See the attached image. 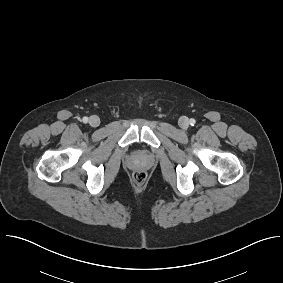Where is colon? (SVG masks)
Returning <instances> with one entry per match:
<instances>
[{
	"label": "colon",
	"mask_w": 283,
	"mask_h": 283,
	"mask_svg": "<svg viewBox=\"0 0 283 283\" xmlns=\"http://www.w3.org/2000/svg\"><path fill=\"white\" fill-rule=\"evenodd\" d=\"M133 179L136 183L141 184L145 181L146 174L142 171H137V172L134 173Z\"/></svg>",
	"instance_id": "5ec220e1"
}]
</instances>
